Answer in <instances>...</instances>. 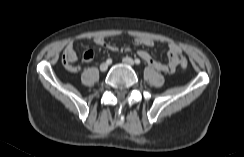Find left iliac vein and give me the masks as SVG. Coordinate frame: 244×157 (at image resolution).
<instances>
[{
	"label": "left iliac vein",
	"mask_w": 244,
	"mask_h": 157,
	"mask_svg": "<svg viewBox=\"0 0 244 157\" xmlns=\"http://www.w3.org/2000/svg\"><path fill=\"white\" fill-rule=\"evenodd\" d=\"M123 63L132 67L135 65L134 60L130 57H124Z\"/></svg>",
	"instance_id": "4c4485c4"
}]
</instances>
